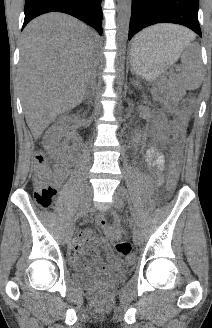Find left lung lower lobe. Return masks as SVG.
Masks as SVG:
<instances>
[{"label":"left lung lower lobe","instance_id":"1","mask_svg":"<svg viewBox=\"0 0 212 328\" xmlns=\"http://www.w3.org/2000/svg\"><path fill=\"white\" fill-rule=\"evenodd\" d=\"M198 0H132L129 40L140 30L157 23L184 25L199 36Z\"/></svg>","mask_w":212,"mask_h":328}]
</instances>
